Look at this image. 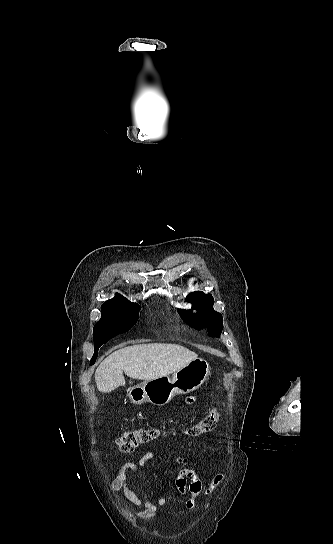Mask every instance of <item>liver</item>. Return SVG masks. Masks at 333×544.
<instances>
[{
    "instance_id": "1",
    "label": "liver",
    "mask_w": 333,
    "mask_h": 544,
    "mask_svg": "<svg viewBox=\"0 0 333 544\" xmlns=\"http://www.w3.org/2000/svg\"><path fill=\"white\" fill-rule=\"evenodd\" d=\"M197 357L178 344L132 345L106 357L96 369L95 382L100 392L109 393L125 385L123 372L130 378L149 381L175 373Z\"/></svg>"
}]
</instances>
